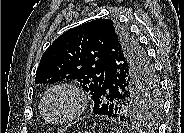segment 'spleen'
<instances>
[{"mask_svg": "<svg viewBox=\"0 0 184 133\" xmlns=\"http://www.w3.org/2000/svg\"><path fill=\"white\" fill-rule=\"evenodd\" d=\"M113 130V132H115V133H122V130H119V129H112Z\"/></svg>", "mask_w": 184, "mask_h": 133, "instance_id": "1", "label": "spleen"}]
</instances>
